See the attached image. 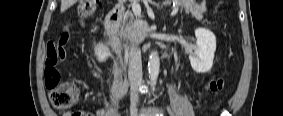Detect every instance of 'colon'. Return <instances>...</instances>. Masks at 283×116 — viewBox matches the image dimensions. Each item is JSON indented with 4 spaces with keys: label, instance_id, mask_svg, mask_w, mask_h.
<instances>
[{
    "label": "colon",
    "instance_id": "colon-1",
    "mask_svg": "<svg viewBox=\"0 0 283 116\" xmlns=\"http://www.w3.org/2000/svg\"><path fill=\"white\" fill-rule=\"evenodd\" d=\"M98 0H80L77 6V14L80 17H89L93 15L98 7ZM68 39V30L63 29L60 45H65ZM45 86L49 89V100L53 107L58 110H66L77 102L79 92L77 87L65 80H61L59 75L49 77L45 75ZM223 88L221 78H213L207 84V89L211 93H217ZM84 115L81 112H74L73 116Z\"/></svg>",
    "mask_w": 283,
    "mask_h": 116
}]
</instances>
